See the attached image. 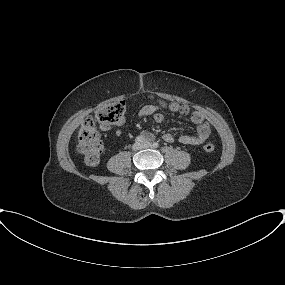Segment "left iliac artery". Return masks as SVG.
I'll use <instances>...</instances> for the list:
<instances>
[{
    "mask_svg": "<svg viewBox=\"0 0 285 285\" xmlns=\"http://www.w3.org/2000/svg\"><path fill=\"white\" fill-rule=\"evenodd\" d=\"M159 146V144L157 142L153 143V147L157 148Z\"/></svg>",
    "mask_w": 285,
    "mask_h": 285,
    "instance_id": "obj_1",
    "label": "left iliac artery"
}]
</instances>
